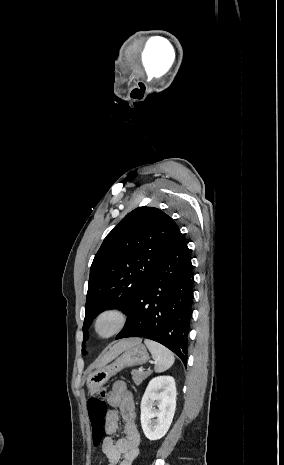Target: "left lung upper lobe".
<instances>
[{
  "mask_svg": "<svg viewBox=\"0 0 284 465\" xmlns=\"http://www.w3.org/2000/svg\"><path fill=\"white\" fill-rule=\"evenodd\" d=\"M180 230L158 208L139 207L106 236L90 268L83 323L84 341L99 313L119 308L126 314L149 276L175 245Z\"/></svg>",
  "mask_w": 284,
  "mask_h": 465,
  "instance_id": "1",
  "label": "left lung upper lobe"
}]
</instances>
